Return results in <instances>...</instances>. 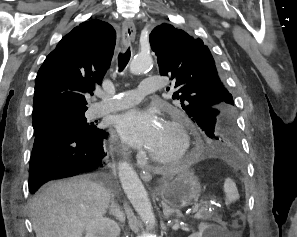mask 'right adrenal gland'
Here are the masks:
<instances>
[{"mask_svg":"<svg viewBox=\"0 0 297 237\" xmlns=\"http://www.w3.org/2000/svg\"><path fill=\"white\" fill-rule=\"evenodd\" d=\"M109 214L114 216L116 220L121 223V227L125 222V214L120 210L118 203L115 201L114 196L111 197V205L109 206Z\"/></svg>","mask_w":297,"mask_h":237,"instance_id":"right-adrenal-gland-1","label":"right adrenal gland"}]
</instances>
